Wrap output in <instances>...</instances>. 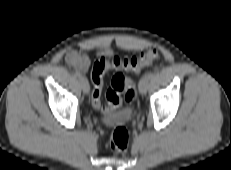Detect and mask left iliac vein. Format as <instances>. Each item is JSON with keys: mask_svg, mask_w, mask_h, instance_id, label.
<instances>
[{"mask_svg": "<svg viewBox=\"0 0 231 170\" xmlns=\"http://www.w3.org/2000/svg\"><path fill=\"white\" fill-rule=\"evenodd\" d=\"M149 81L150 79L147 76H144L141 78L138 88H139V92L144 95L147 92L148 89V85H149Z\"/></svg>", "mask_w": 231, "mask_h": 170, "instance_id": "left-iliac-vein-1", "label": "left iliac vein"}]
</instances>
